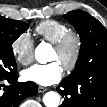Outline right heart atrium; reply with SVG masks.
<instances>
[{"instance_id":"1","label":"right heart atrium","mask_w":107,"mask_h":107,"mask_svg":"<svg viewBox=\"0 0 107 107\" xmlns=\"http://www.w3.org/2000/svg\"><path fill=\"white\" fill-rule=\"evenodd\" d=\"M11 50L16 60L27 65L34 58V43L28 32L19 34L11 44Z\"/></svg>"}]
</instances>
